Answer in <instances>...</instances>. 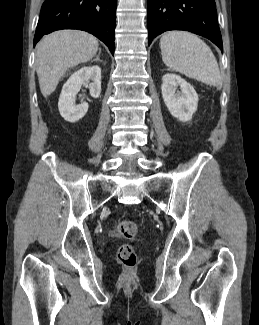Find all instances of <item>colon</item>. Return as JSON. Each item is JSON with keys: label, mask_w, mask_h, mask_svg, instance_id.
Wrapping results in <instances>:
<instances>
[{"label": "colon", "mask_w": 259, "mask_h": 325, "mask_svg": "<svg viewBox=\"0 0 259 325\" xmlns=\"http://www.w3.org/2000/svg\"><path fill=\"white\" fill-rule=\"evenodd\" d=\"M136 234L137 226L134 222L129 220L119 222L113 230V235L118 238L132 239ZM117 258L124 266H134L137 260L135 248L131 244H122L118 248Z\"/></svg>", "instance_id": "colon-1"}]
</instances>
